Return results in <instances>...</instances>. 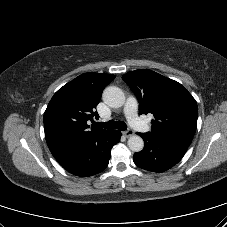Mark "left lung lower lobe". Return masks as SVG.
Returning <instances> with one entry per match:
<instances>
[{
	"label": "left lung lower lobe",
	"mask_w": 227,
	"mask_h": 227,
	"mask_svg": "<svg viewBox=\"0 0 227 227\" xmlns=\"http://www.w3.org/2000/svg\"><path fill=\"white\" fill-rule=\"evenodd\" d=\"M140 135L145 144L144 149L134 154V163L147 171L163 172L176 165L187 151V145L157 138L145 133Z\"/></svg>",
	"instance_id": "left-lung-lower-lobe-1"
}]
</instances>
